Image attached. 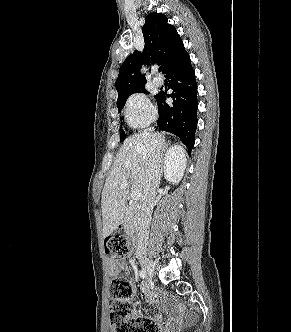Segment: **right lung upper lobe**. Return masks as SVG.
Wrapping results in <instances>:
<instances>
[{
	"instance_id": "right-lung-upper-lobe-1",
	"label": "right lung upper lobe",
	"mask_w": 291,
	"mask_h": 332,
	"mask_svg": "<svg viewBox=\"0 0 291 332\" xmlns=\"http://www.w3.org/2000/svg\"><path fill=\"white\" fill-rule=\"evenodd\" d=\"M142 32L145 41L143 53L134 51L119 69L116 80L117 101L144 87L146 79L140 72L142 63L158 62L163 66V73H166L189 56L177 30L168 24L164 14H149Z\"/></svg>"
}]
</instances>
